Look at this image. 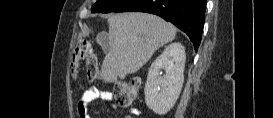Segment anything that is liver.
<instances>
[{"mask_svg":"<svg viewBox=\"0 0 273 118\" xmlns=\"http://www.w3.org/2000/svg\"><path fill=\"white\" fill-rule=\"evenodd\" d=\"M109 51L102 63V79L113 83L137 72L154 52L173 41L176 28L158 16L128 12L108 18Z\"/></svg>","mask_w":273,"mask_h":118,"instance_id":"liver-1","label":"liver"}]
</instances>
